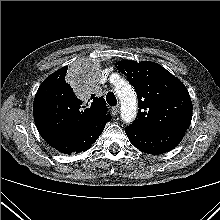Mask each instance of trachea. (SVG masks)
I'll return each mask as SVG.
<instances>
[{
  "instance_id": "trachea-1",
  "label": "trachea",
  "mask_w": 220,
  "mask_h": 220,
  "mask_svg": "<svg viewBox=\"0 0 220 220\" xmlns=\"http://www.w3.org/2000/svg\"><path fill=\"white\" fill-rule=\"evenodd\" d=\"M106 101L110 106H116L117 99L113 92H108L106 95Z\"/></svg>"
}]
</instances>
